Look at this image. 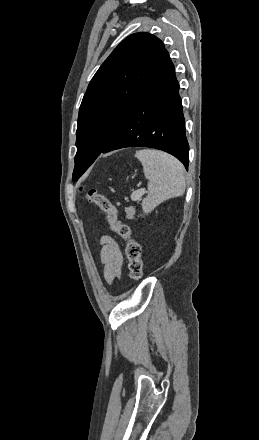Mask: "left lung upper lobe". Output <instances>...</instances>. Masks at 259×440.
<instances>
[{"label": "left lung upper lobe", "instance_id": "5c2ea615", "mask_svg": "<svg viewBox=\"0 0 259 440\" xmlns=\"http://www.w3.org/2000/svg\"><path fill=\"white\" fill-rule=\"evenodd\" d=\"M164 50L157 37L135 33L124 39L98 69L79 109L73 181L112 140L148 84Z\"/></svg>", "mask_w": 259, "mask_h": 440}]
</instances>
